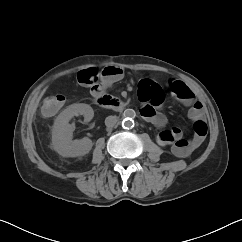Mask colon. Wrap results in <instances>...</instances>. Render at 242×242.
Masks as SVG:
<instances>
[{
    "instance_id": "5ec220e1",
    "label": "colon",
    "mask_w": 242,
    "mask_h": 242,
    "mask_svg": "<svg viewBox=\"0 0 242 242\" xmlns=\"http://www.w3.org/2000/svg\"><path fill=\"white\" fill-rule=\"evenodd\" d=\"M79 79L81 83L95 87L100 81L101 75L95 69H88L80 73ZM173 89L179 97L184 96L186 93L184 87L179 83L174 84ZM139 92L144 98L151 100L154 104H160L163 100L162 88L151 80L143 79L139 84ZM64 101L65 97L61 94L47 96L42 106L43 113L45 115L55 114L62 107ZM193 130L201 135H205L207 131L206 126L199 123L193 126Z\"/></svg>"
}]
</instances>
